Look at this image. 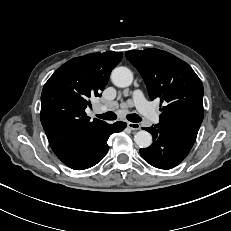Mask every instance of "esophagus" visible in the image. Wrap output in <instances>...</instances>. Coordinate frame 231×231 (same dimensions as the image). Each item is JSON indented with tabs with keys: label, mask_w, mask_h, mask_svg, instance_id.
I'll return each mask as SVG.
<instances>
[{
	"label": "esophagus",
	"mask_w": 231,
	"mask_h": 231,
	"mask_svg": "<svg viewBox=\"0 0 231 231\" xmlns=\"http://www.w3.org/2000/svg\"><path fill=\"white\" fill-rule=\"evenodd\" d=\"M127 126H128L129 129H131L133 131H136V130L140 129V124H138V123L128 122Z\"/></svg>",
	"instance_id": "esophagus-1"
}]
</instances>
